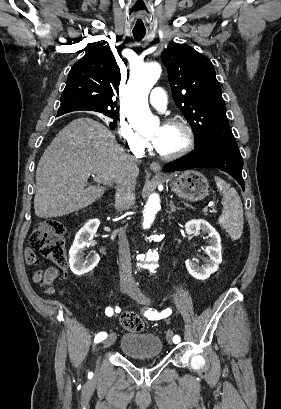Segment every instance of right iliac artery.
I'll use <instances>...</instances> for the list:
<instances>
[{
	"label": "right iliac artery",
	"instance_id": "obj_1",
	"mask_svg": "<svg viewBox=\"0 0 281 409\" xmlns=\"http://www.w3.org/2000/svg\"><path fill=\"white\" fill-rule=\"evenodd\" d=\"M105 313L107 316H112L113 315V309L111 307H107L105 310ZM107 337V333L106 332H100L96 335L95 337V342L98 343L100 341H102L103 339H105Z\"/></svg>",
	"mask_w": 281,
	"mask_h": 409
}]
</instances>
